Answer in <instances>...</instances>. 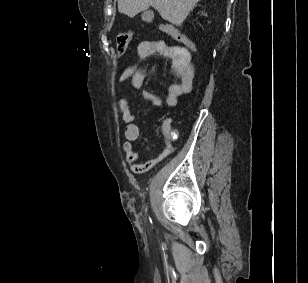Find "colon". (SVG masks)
<instances>
[{"label": "colon", "instance_id": "colon-1", "mask_svg": "<svg viewBox=\"0 0 308 283\" xmlns=\"http://www.w3.org/2000/svg\"><path fill=\"white\" fill-rule=\"evenodd\" d=\"M159 30L170 35L172 38L182 43L185 46V49L189 53H192V54L197 53V48L195 44L185 35L178 32L176 29L162 25V26H159ZM132 37H133L132 31H126V32H122L118 34L116 38V47H117V51L119 55H123L125 53V51L127 50L132 40ZM168 134L173 138L175 137V132L172 130H168Z\"/></svg>", "mask_w": 308, "mask_h": 283}]
</instances>
